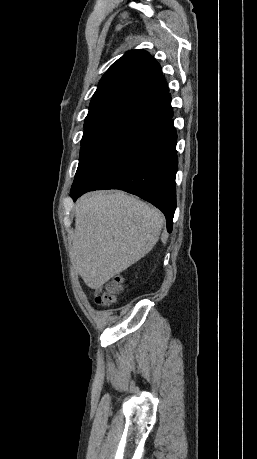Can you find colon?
Instances as JSON below:
<instances>
[{
    "mask_svg": "<svg viewBox=\"0 0 257 459\" xmlns=\"http://www.w3.org/2000/svg\"><path fill=\"white\" fill-rule=\"evenodd\" d=\"M122 283L120 276H115L104 282L96 292V303L103 306L114 304L122 291Z\"/></svg>",
    "mask_w": 257,
    "mask_h": 459,
    "instance_id": "obj_1",
    "label": "colon"
}]
</instances>
